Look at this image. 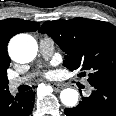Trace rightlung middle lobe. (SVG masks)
<instances>
[{
    "label": "right lung middle lobe",
    "instance_id": "dd1d6c3e",
    "mask_svg": "<svg viewBox=\"0 0 116 116\" xmlns=\"http://www.w3.org/2000/svg\"><path fill=\"white\" fill-rule=\"evenodd\" d=\"M8 89L7 75L0 76V96H2Z\"/></svg>",
    "mask_w": 116,
    "mask_h": 116
}]
</instances>
